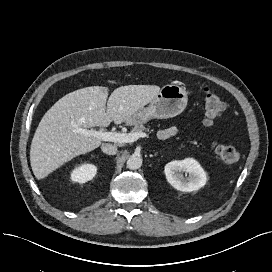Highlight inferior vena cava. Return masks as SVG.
I'll use <instances>...</instances> for the list:
<instances>
[{
    "instance_id": "inferior-vena-cava-1",
    "label": "inferior vena cava",
    "mask_w": 272,
    "mask_h": 272,
    "mask_svg": "<svg viewBox=\"0 0 272 272\" xmlns=\"http://www.w3.org/2000/svg\"><path fill=\"white\" fill-rule=\"evenodd\" d=\"M101 150L108 155H115L117 153V147L109 143H103Z\"/></svg>"
}]
</instances>
